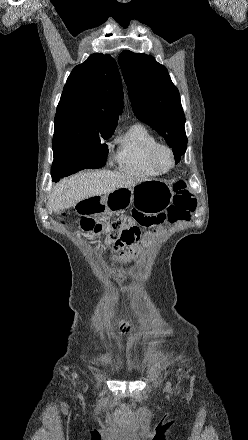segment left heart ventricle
I'll list each match as a JSON object with an SVG mask.
<instances>
[{
	"mask_svg": "<svg viewBox=\"0 0 248 440\" xmlns=\"http://www.w3.org/2000/svg\"><path fill=\"white\" fill-rule=\"evenodd\" d=\"M160 162L162 166L169 167L171 164V158L167 152H162L160 155Z\"/></svg>",
	"mask_w": 248,
	"mask_h": 440,
	"instance_id": "b2bd125f",
	"label": "left heart ventricle"
}]
</instances>
